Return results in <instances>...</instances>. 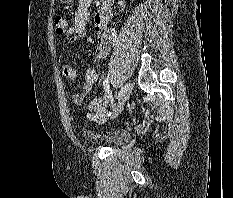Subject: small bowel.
I'll use <instances>...</instances> for the list:
<instances>
[{"instance_id": "small-bowel-1", "label": "small bowel", "mask_w": 233, "mask_h": 198, "mask_svg": "<svg viewBox=\"0 0 233 198\" xmlns=\"http://www.w3.org/2000/svg\"><path fill=\"white\" fill-rule=\"evenodd\" d=\"M91 3L92 0H79V5L74 15V23L70 26L67 25L63 34L69 38L71 43L78 42L84 38L86 24L90 17L89 7ZM111 18L112 10L108 4L103 5L94 17V27L97 34L96 56L99 59H105L112 46V37L108 28ZM62 72L69 80H75L78 75L77 70L67 63L63 65ZM98 80L99 74L93 69H88L84 75L82 89L71 95L72 103L76 105L83 103Z\"/></svg>"}]
</instances>
